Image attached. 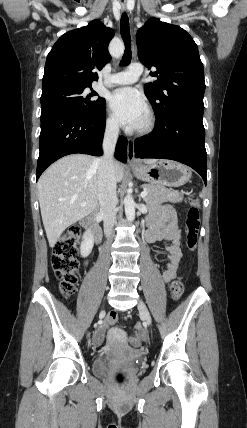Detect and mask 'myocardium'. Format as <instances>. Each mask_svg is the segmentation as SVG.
<instances>
[{
    "label": "myocardium",
    "instance_id": "obj_1",
    "mask_svg": "<svg viewBox=\"0 0 247 428\" xmlns=\"http://www.w3.org/2000/svg\"><path fill=\"white\" fill-rule=\"evenodd\" d=\"M155 126V118L152 113L147 115L145 123L138 129L140 135H146L152 132Z\"/></svg>",
    "mask_w": 247,
    "mask_h": 428
}]
</instances>
